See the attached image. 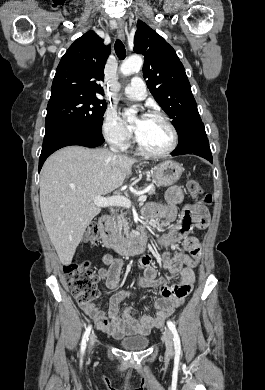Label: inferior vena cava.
<instances>
[{
    "label": "inferior vena cava",
    "mask_w": 265,
    "mask_h": 390,
    "mask_svg": "<svg viewBox=\"0 0 265 390\" xmlns=\"http://www.w3.org/2000/svg\"><path fill=\"white\" fill-rule=\"evenodd\" d=\"M111 150H112L113 152H115V153L117 152V150H116L115 148H111Z\"/></svg>",
    "instance_id": "inferior-vena-cava-1"
}]
</instances>
